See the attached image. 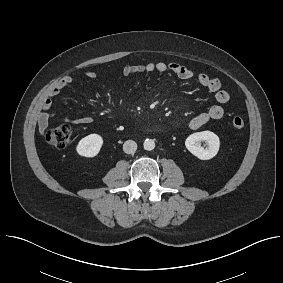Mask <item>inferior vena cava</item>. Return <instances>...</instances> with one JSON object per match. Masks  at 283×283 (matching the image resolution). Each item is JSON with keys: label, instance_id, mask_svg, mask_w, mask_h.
I'll list each match as a JSON object with an SVG mask.
<instances>
[{"label": "inferior vena cava", "instance_id": "obj_1", "mask_svg": "<svg viewBox=\"0 0 283 283\" xmlns=\"http://www.w3.org/2000/svg\"><path fill=\"white\" fill-rule=\"evenodd\" d=\"M137 149V143L133 140H127L123 144V151L127 154H132Z\"/></svg>", "mask_w": 283, "mask_h": 283}]
</instances>
